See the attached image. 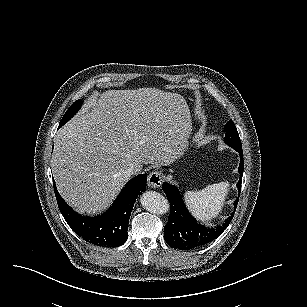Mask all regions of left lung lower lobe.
<instances>
[{
    "label": "left lung lower lobe",
    "instance_id": "1",
    "mask_svg": "<svg viewBox=\"0 0 307 307\" xmlns=\"http://www.w3.org/2000/svg\"><path fill=\"white\" fill-rule=\"evenodd\" d=\"M240 155V165L238 171L240 179L237 183L239 194L241 191V182L243 175V152L237 150ZM170 202V216L167 224L164 227V238L168 245L172 248L180 250H190L202 247L214 239H216L231 222L235 210L230 217H228L222 226L216 228H205L198 224L196 220L190 215L185 207L181 195L175 186L165 183L162 187ZM238 199L235 201V208L237 207Z\"/></svg>",
    "mask_w": 307,
    "mask_h": 307
}]
</instances>
